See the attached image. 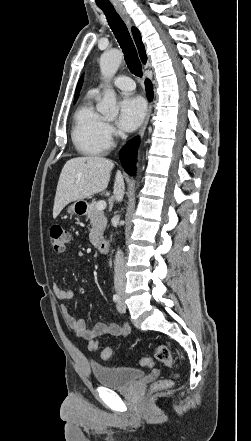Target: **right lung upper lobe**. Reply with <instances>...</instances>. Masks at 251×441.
Listing matches in <instances>:
<instances>
[{"mask_svg":"<svg viewBox=\"0 0 251 441\" xmlns=\"http://www.w3.org/2000/svg\"><path fill=\"white\" fill-rule=\"evenodd\" d=\"M132 33H133L134 40H135V42H136V45H137V48H138V51H139L140 58H141V60H142L143 63H146V61H147V56H146V53H145L144 45H143V43H142V41H141V35H140V32L138 31L137 28L133 27V28H132ZM82 81H83V76L80 78V80H79V82H78V84H77V87H76V94H75V100L78 98L79 91H80V89H81V85H82Z\"/></svg>","mask_w":251,"mask_h":441,"instance_id":"cb5924a9","label":"right lung upper lobe"}]
</instances>
